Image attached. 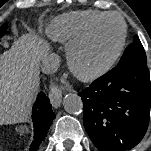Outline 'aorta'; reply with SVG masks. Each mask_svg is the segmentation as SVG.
<instances>
[{
  "label": "aorta",
  "instance_id": "762f6f07",
  "mask_svg": "<svg viewBox=\"0 0 151 151\" xmlns=\"http://www.w3.org/2000/svg\"><path fill=\"white\" fill-rule=\"evenodd\" d=\"M63 107L71 115H78L82 112L83 102L77 94L68 93L63 98Z\"/></svg>",
  "mask_w": 151,
  "mask_h": 151
}]
</instances>
